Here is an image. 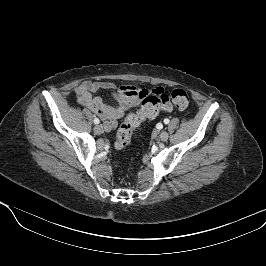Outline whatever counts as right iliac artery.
I'll list each match as a JSON object with an SVG mask.
<instances>
[{"mask_svg":"<svg viewBox=\"0 0 266 266\" xmlns=\"http://www.w3.org/2000/svg\"><path fill=\"white\" fill-rule=\"evenodd\" d=\"M94 123H95V124H99V123H100L99 119H98V118H95V119H94Z\"/></svg>","mask_w":266,"mask_h":266,"instance_id":"82829eb1","label":"right iliac artery"}]
</instances>
